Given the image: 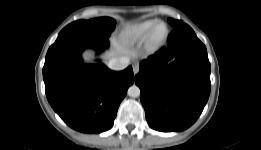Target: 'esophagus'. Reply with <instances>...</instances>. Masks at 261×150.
<instances>
[{
  "label": "esophagus",
  "mask_w": 261,
  "mask_h": 150,
  "mask_svg": "<svg viewBox=\"0 0 261 150\" xmlns=\"http://www.w3.org/2000/svg\"><path fill=\"white\" fill-rule=\"evenodd\" d=\"M139 72V66L137 64L133 65V73L136 75Z\"/></svg>",
  "instance_id": "obj_1"
}]
</instances>
